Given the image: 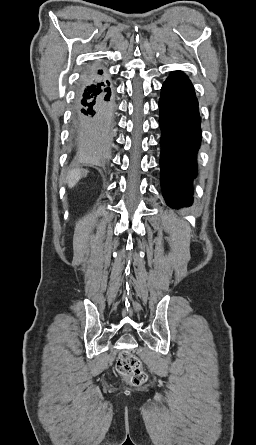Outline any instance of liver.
I'll return each mask as SVG.
<instances>
[{
	"mask_svg": "<svg viewBox=\"0 0 256 445\" xmlns=\"http://www.w3.org/2000/svg\"><path fill=\"white\" fill-rule=\"evenodd\" d=\"M87 171L82 169H73L69 172L67 177V184L70 188L74 187L79 179L86 175Z\"/></svg>",
	"mask_w": 256,
	"mask_h": 445,
	"instance_id": "obj_1",
	"label": "liver"
}]
</instances>
